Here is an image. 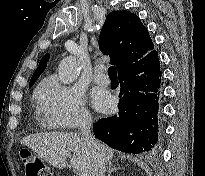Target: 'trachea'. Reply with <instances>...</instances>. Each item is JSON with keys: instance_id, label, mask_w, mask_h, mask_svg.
<instances>
[{"instance_id": "obj_1", "label": "trachea", "mask_w": 205, "mask_h": 176, "mask_svg": "<svg viewBox=\"0 0 205 176\" xmlns=\"http://www.w3.org/2000/svg\"><path fill=\"white\" fill-rule=\"evenodd\" d=\"M108 74H109V77H117L116 68L114 66L109 67Z\"/></svg>"}]
</instances>
